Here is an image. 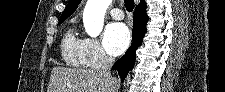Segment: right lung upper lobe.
Listing matches in <instances>:
<instances>
[{
    "label": "right lung upper lobe",
    "instance_id": "1",
    "mask_svg": "<svg viewBox=\"0 0 225 92\" xmlns=\"http://www.w3.org/2000/svg\"><path fill=\"white\" fill-rule=\"evenodd\" d=\"M81 2V0H69L64 12L61 15L60 20L68 18L70 15L73 14V12L77 9L78 4ZM146 2L145 0H141V2L136 6V9L140 11H146Z\"/></svg>",
    "mask_w": 225,
    "mask_h": 92
}]
</instances>
